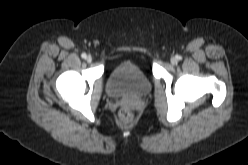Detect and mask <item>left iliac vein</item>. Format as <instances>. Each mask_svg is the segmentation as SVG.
<instances>
[{"mask_svg": "<svg viewBox=\"0 0 248 165\" xmlns=\"http://www.w3.org/2000/svg\"><path fill=\"white\" fill-rule=\"evenodd\" d=\"M171 63L174 65V64L177 63V60H176L175 58H172V59H171Z\"/></svg>", "mask_w": 248, "mask_h": 165, "instance_id": "obj_1", "label": "left iliac vein"}]
</instances>
